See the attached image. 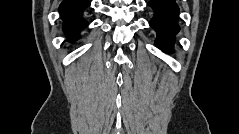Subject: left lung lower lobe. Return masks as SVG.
<instances>
[{
  "instance_id": "left-lung-lower-lobe-1",
  "label": "left lung lower lobe",
  "mask_w": 239,
  "mask_h": 134,
  "mask_svg": "<svg viewBox=\"0 0 239 134\" xmlns=\"http://www.w3.org/2000/svg\"><path fill=\"white\" fill-rule=\"evenodd\" d=\"M148 5L154 10L150 26L158 34L155 43L160 49L171 51V37L180 30L177 23L179 8L175 0H151Z\"/></svg>"
}]
</instances>
